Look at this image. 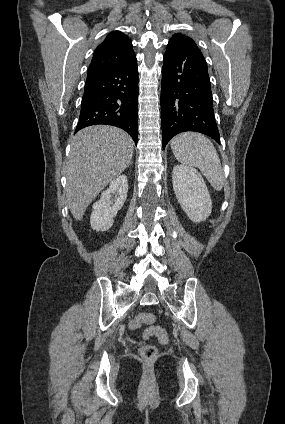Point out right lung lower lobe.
<instances>
[{
    "mask_svg": "<svg viewBox=\"0 0 285 424\" xmlns=\"http://www.w3.org/2000/svg\"><path fill=\"white\" fill-rule=\"evenodd\" d=\"M137 60L113 70L87 76L75 132L106 124L125 130L137 144Z\"/></svg>",
    "mask_w": 285,
    "mask_h": 424,
    "instance_id": "98d812e1",
    "label": "right lung lower lobe"
}]
</instances>
